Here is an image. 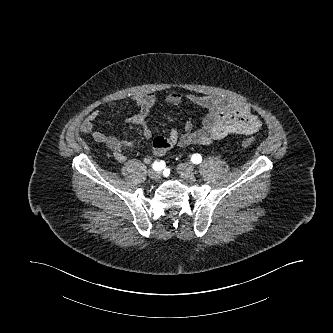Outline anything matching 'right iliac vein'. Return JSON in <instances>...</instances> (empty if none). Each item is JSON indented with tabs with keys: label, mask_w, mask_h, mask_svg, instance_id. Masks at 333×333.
Returning a JSON list of instances; mask_svg holds the SVG:
<instances>
[{
	"label": "right iliac vein",
	"mask_w": 333,
	"mask_h": 333,
	"mask_svg": "<svg viewBox=\"0 0 333 333\" xmlns=\"http://www.w3.org/2000/svg\"><path fill=\"white\" fill-rule=\"evenodd\" d=\"M148 175L153 181H158L161 178V173L152 169L149 170Z\"/></svg>",
	"instance_id": "63e3f726"
}]
</instances>
